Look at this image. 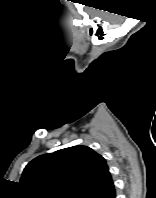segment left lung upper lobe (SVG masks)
<instances>
[{"label":"left lung upper lobe","instance_id":"left-lung-upper-lobe-1","mask_svg":"<svg viewBox=\"0 0 156 198\" xmlns=\"http://www.w3.org/2000/svg\"><path fill=\"white\" fill-rule=\"evenodd\" d=\"M110 179L101 155L89 147L74 146L33 159L20 184L28 198H90Z\"/></svg>","mask_w":156,"mask_h":198}]
</instances>
